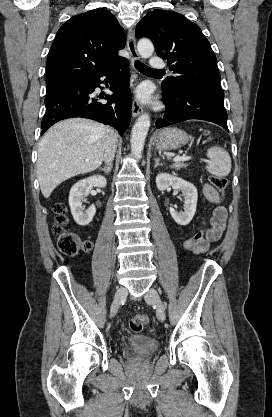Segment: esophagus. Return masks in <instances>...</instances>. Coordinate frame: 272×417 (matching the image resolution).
<instances>
[{"mask_svg":"<svg viewBox=\"0 0 272 417\" xmlns=\"http://www.w3.org/2000/svg\"><path fill=\"white\" fill-rule=\"evenodd\" d=\"M127 49L131 55L132 63L134 64L136 61L140 59L139 54L136 49V40L132 30L129 31L127 36ZM143 111L141 104L134 100L132 104V116L136 117Z\"/></svg>","mask_w":272,"mask_h":417,"instance_id":"obj_1","label":"esophagus"}]
</instances>
